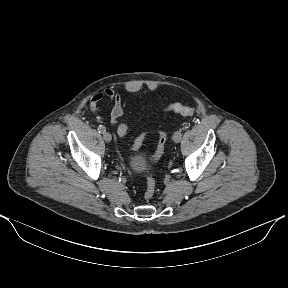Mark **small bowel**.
Returning a JSON list of instances; mask_svg holds the SVG:
<instances>
[{"label": "small bowel", "instance_id": "1", "mask_svg": "<svg viewBox=\"0 0 288 288\" xmlns=\"http://www.w3.org/2000/svg\"><path fill=\"white\" fill-rule=\"evenodd\" d=\"M104 97H106L112 105L111 112H110V120L113 125H116L120 117L123 114V100H122L121 94L115 89L109 87V88H106L103 92L95 93L90 99L88 108L94 114L99 113L100 108L98 104ZM122 124L123 123H120L118 125V130ZM118 135L121 137V134L119 133V131H118Z\"/></svg>", "mask_w": 288, "mask_h": 288}]
</instances>
